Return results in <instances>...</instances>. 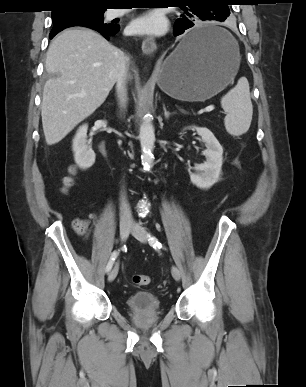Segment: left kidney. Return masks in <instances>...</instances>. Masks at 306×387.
Listing matches in <instances>:
<instances>
[{
	"label": "left kidney",
	"mask_w": 306,
	"mask_h": 387,
	"mask_svg": "<svg viewBox=\"0 0 306 387\" xmlns=\"http://www.w3.org/2000/svg\"><path fill=\"white\" fill-rule=\"evenodd\" d=\"M192 130H196L205 143L206 149L202 154L206 161L195 165L196 172L190 174V179L197 187L207 189L218 181L223 163V148L209 129L194 126Z\"/></svg>",
	"instance_id": "1"
}]
</instances>
